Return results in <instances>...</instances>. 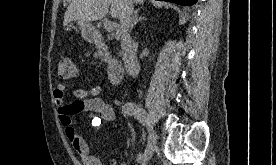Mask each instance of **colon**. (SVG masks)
I'll use <instances>...</instances> for the list:
<instances>
[{"instance_id":"colon-1","label":"colon","mask_w":276,"mask_h":165,"mask_svg":"<svg viewBox=\"0 0 276 165\" xmlns=\"http://www.w3.org/2000/svg\"><path fill=\"white\" fill-rule=\"evenodd\" d=\"M78 74V67L74 60L68 56L62 57L58 66V75L61 79H71Z\"/></svg>"}]
</instances>
